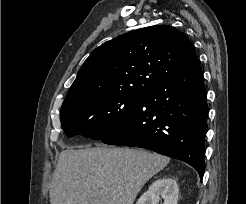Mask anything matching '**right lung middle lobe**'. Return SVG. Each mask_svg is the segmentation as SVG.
<instances>
[{"label": "right lung middle lobe", "instance_id": "obj_1", "mask_svg": "<svg viewBox=\"0 0 246 204\" xmlns=\"http://www.w3.org/2000/svg\"><path fill=\"white\" fill-rule=\"evenodd\" d=\"M140 93H116L93 97L61 108L65 134H81L100 140L120 127L130 115Z\"/></svg>", "mask_w": 246, "mask_h": 204}]
</instances>
